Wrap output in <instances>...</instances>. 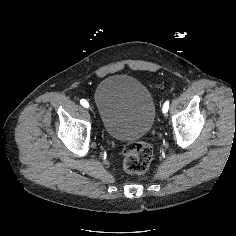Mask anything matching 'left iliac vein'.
Here are the masks:
<instances>
[{"mask_svg": "<svg viewBox=\"0 0 236 236\" xmlns=\"http://www.w3.org/2000/svg\"><path fill=\"white\" fill-rule=\"evenodd\" d=\"M162 117L164 118V119H167L168 117H169V114H168V112H167V110H162Z\"/></svg>", "mask_w": 236, "mask_h": 236, "instance_id": "left-iliac-vein-1", "label": "left iliac vein"}]
</instances>
